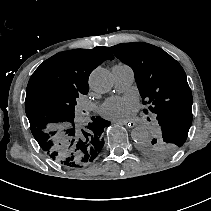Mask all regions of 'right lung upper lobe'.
<instances>
[{
  "label": "right lung upper lobe",
  "instance_id": "1",
  "mask_svg": "<svg viewBox=\"0 0 211 211\" xmlns=\"http://www.w3.org/2000/svg\"><path fill=\"white\" fill-rule=\"evenodd\" d=\"M114 59L106 47L76 49L55 54L32 74L26 89L25 110L30 124L40 125L38 106L42 96L51 91L87 94L90 73L103 61Z\"/></svg>",
  "mask_w": 211,
  "mask_h": 211
}]
</instances>
